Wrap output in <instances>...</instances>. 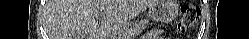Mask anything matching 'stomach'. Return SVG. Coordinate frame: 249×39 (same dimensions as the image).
<instances>
[{
  "mask_svg": "<svg viewBox=\"0 0 249 39\" xmlns=\"http://www.w3.org/2000/svg\"><path fill=\"white\" fill-rule=\"evenodd\" d=\"M175 5L174 0H157L156 3L149 8L148 16L152 21L168 23L175 17Z\"/></svg>",
  "mask_w": 249,
  "mask_h": 39,
  "instance_id": "1",
  "label": "stomach"
}]
</instances>
